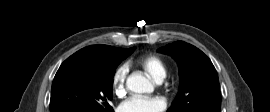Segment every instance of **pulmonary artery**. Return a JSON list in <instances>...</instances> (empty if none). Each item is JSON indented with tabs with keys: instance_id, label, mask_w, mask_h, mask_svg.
Returning <instances> with one entry per match:
<instances>
[{
	"instance_id": "1",
	"label": "pulmonary artery",
	"mask_w": 270,
	"mask_h": 112,
	"mask_svg": "<svg viewBox=\"0 0 270 112\" xmlns=\"http://www.w3.org/2000/svg\"><path fill=\"white\" fill-rule=\"evenodd\" d=\"M162 80H159V81H157L158 83H160Z\"/></svg>"
}]
</instances>
